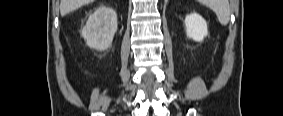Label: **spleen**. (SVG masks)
I'll list each match as a JSON object with an SVG mask.
<instances>
[{"label":"spleen","instance_id":"3e777b00","mask_svg":"<svg viewBox=\"0 0 283 116\" xmlns=\"http://www.w3.org/2000/svg\"><path fill=\"white\" fill-rule=\"evenodd\" d=\"M202 3L216 14L221 25L225 26L229 23L230 7L228 0H204Z\"/></svg>","mask_w":283,"mask_h":116}]
</instances>
